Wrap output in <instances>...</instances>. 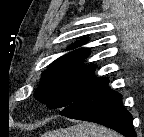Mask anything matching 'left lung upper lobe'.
Wrapping results in <instances>:
<instances>
[{"instance_id": "obj_1", "label": "left lung upper lobe", "mask_w": 144, "mask_h": 137, "mask_svg": "<svg viewBox=\"0 0 144 137\" xmlns=\"http://www.w3.org/2000/svg\"><path fill=\"white\" fill-rule=\"evenodd\" d=\"M86 42V40H80L73 46L76 47ZM88 54L89 50L82 48L51 63L42 74L34 97L41 103H45L49 108H65L77 100L85 91L95 88L107 79L93 75L94 65H80V62Z\"/></svg>"}]
</instances>
